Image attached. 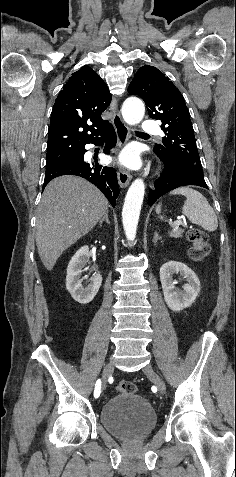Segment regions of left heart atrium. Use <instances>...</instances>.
Listing matches in <instances>:
<instances>
[{
    "mask_svg": "<svg viewBox=\"0 0 236 477\" xmlns=\"http://www.w3.org/2000/svg\"><path fill=\"white\" fill-rule=\"evenodd\" d=\"M118 160L122 165L130 168H136L140 163L139 157L133 149L124 150Z\"/></svg>",
    "mask_w": 236,
    "mask_h": 477,
    "instance_id": "obj_1",
    "label": "left heart atrium"
}]
</instances>
